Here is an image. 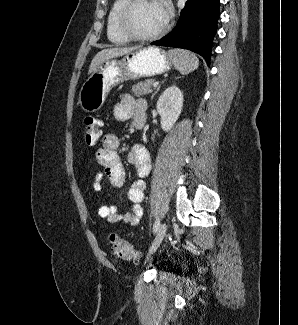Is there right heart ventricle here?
I'll return each mask as SVG.
<instances>
[{"label":"right heart ventricle","instance_id":"1","mask_svg":"<svg viewBox=\"0 0 298 325\" xmlns=\"http://www.w3.org/2000/svg\"><path fill=\"white\" fill-rule=\"evenodd\" d=\"M124 3L125 0L115 1L107 16L106 34L108 41L114 46H125L130 42V40L122 36L117 29V17Z\"/></svg>","mask_w":298,"mask_h":325}]
</instances>
